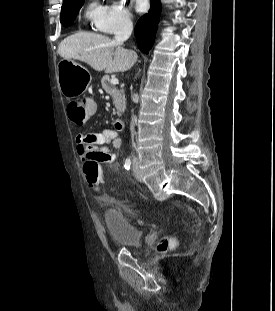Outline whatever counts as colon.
I'll return each instance as SVG.
<instances>
[{
  "label": "colon",
  "mask_w": 275,
  "mask_h": 311,
  "mask_svg": "<svg viewBox=\"0 0 275 311\" xmlns=\"http://www.w3.org/2000/svg\"><path fill=\"white\" fill-rule=\"evenodd\" d=\"M101 103V97H83V100L77 99L70 102L68 110L77 125H88L89 121H93V117L98 116L97 107ZM97 161L90 160L85 163L83 168L85 180L91 188H98L102 182V169ZM177 244L175 239L165 237L160 240L158 250L164 252Z\"/></svg>",
  "instance_id": "colon-1"
}]
</instances>
